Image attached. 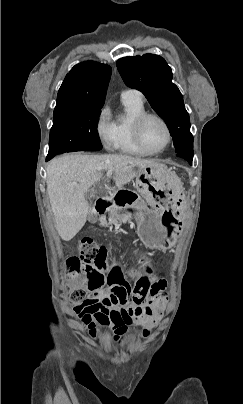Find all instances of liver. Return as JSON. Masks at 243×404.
I'll return each mask as SVG.
<instances>
[{"mask_svg":"<svg viewBox=\"0 0 243 404\" xmlns=\"http://www.w3.org/2000/svg\"><path fill=\"white\" fill-rule=\"evenodd\" d=\"M156 164L155 160H142L122 154H64L51 160L47 166V192L60 238L69 242L83 228L89 214L85 192L102 178L104 172L112 170L115 186L124 190L123 186L137 176L135 168Z\"/></svg>","mask_w":243,"mask_h":404,"instance_id":"6515ba94","label":"liver"}]
</instances>
